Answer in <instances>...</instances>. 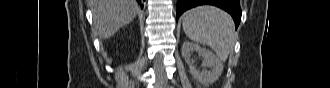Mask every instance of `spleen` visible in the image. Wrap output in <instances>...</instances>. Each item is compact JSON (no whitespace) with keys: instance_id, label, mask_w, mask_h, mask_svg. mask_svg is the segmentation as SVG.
<instances>
[{"instance_id":"obj_1","label":"spleen","mask_w":330,"mask_h":88,"mask_svg":"<svg viewBox=\"0 0 330 88\" xmlns=\"http://www.w3.org/2000/svg\"><path fill=\"white\" fill-rule=\"evenodd\" d=\"M181 19L189 39L210 46L221 61L227 60L236 40L234 22L228 13L202 5L186 11Z\"/></svg>"}]
</instances>
